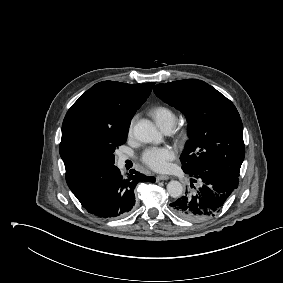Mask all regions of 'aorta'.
<instances>
[{"label":"aorta","instance_id":"obj_1","mask_svg":"<svg viewBox=\"0 0 283 283\" xmlns=\"http://www.w3.org/2000/svg\"><path fill=\"white\" fill-rule=\"evenodd\" d=\"M133 133L137 140L144 143H159L162 140L161 134L156 127L148 120H141L133 127ZM167 192L173 198H179L183 192V186L179 181H170L167 184Z\"/></svg>","mask_w":283,"mask_h":283}]
</instances>
